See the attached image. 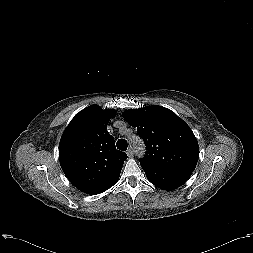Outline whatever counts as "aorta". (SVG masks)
Instances as JSON below:
<instances>
[{"instance_id":"aorta-1","label":"aorta","mask_w":253,"mask_h":253,"mask_svg":"<svg viewBox=\"0 0 253 253\" xmlns=\"http://www.w3.org/2000/svg\"><path fill=\"white\" fill-rule=\"evenodd\" d=\"M131 143L136 149L138 150L139 155H143L144 148H143V142L138 137H132Z\"/></svg>"}]
</instances>
